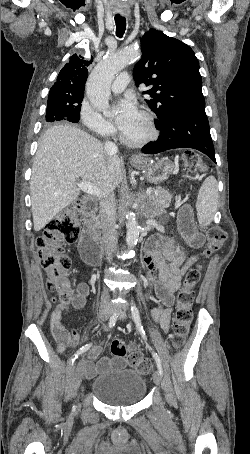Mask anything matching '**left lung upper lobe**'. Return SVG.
<instances>
[{
	"label": "left lung upper lobe",
	"instance_id": "5c2ea615",
	"mask_svg": "<svg viewBox=\"0 0 250 454\" xmlns=\"http://www.w3.org/2000/svg\"><path fill=\"white\" fill-rule=\"evenodd\" d=\"M141 49L143 55L133 76L137 86L152 85L143 93L158 117L156 127L177 113L205 109L198 59L188 45L151 29L143 35Z\"/></svg>",
	"mask_w": 250,
	"mask_h": 454
}]
</instances>
